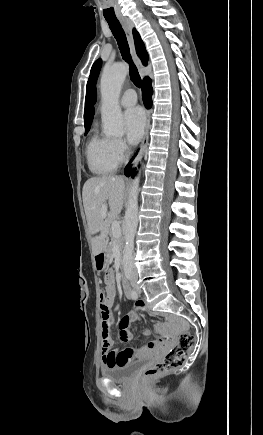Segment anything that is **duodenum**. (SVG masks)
<instances>
[{
    "instance_id": "1",
    "label": "duodenum",
    "mask_w": 263,
    "mask_h": 435,
    "mask_svg": "<svg viewBox=\"0 0 263 435\" xmlns=\"http://www.w3.org/2000/svg\"><path fill=\"white\" fill-rule=\"evenodd\" d=\"M123 287H124L125 294L127 296H129L131 287H130V284H129L128 279H127L126 276H123Z\"/></svg>"
}]
</instances>
